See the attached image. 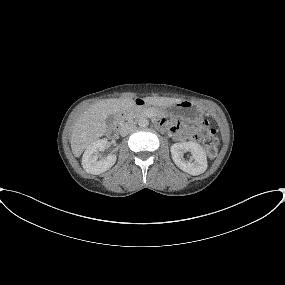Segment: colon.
I'll return each instance as SVG.
<instances>
[{
    "label": "colon",
    "instance_id": "5ec220e1",
    "mask_svg": "<svg viewBox=\"0 0 285 285\" xmlns=\"http://www.w3.org/2000/svg\"><path fill=\"white\" fill-rule=\"evenodd\" d=\"M190 134L193 138L201 140L206 148V152L209 157H214L218 149V137L214 129L209 128L202 131L197 126L190 127Z\"/></svg>",
    "mask_w": 285,
    "mask_h": 285
}]
</instances>
